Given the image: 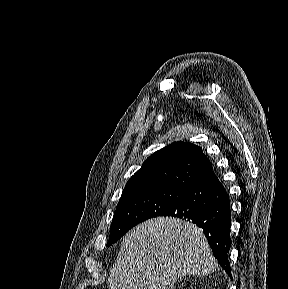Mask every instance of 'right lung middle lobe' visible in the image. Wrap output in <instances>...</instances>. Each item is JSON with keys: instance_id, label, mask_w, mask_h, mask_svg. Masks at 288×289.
<instances>
[{"instance_id": "dd1d6c3e", "label": "right lung middle lobe", "mask_w": 288, "mask_h": 289, "mask_svg": "<svg viewBox=\"0 0 288 289\" xmlns=\"http://www.w3.org/2000/svg\"><path fill=\"white\" fill-rule=\"evenodd\" d=\"M186 190L155 187L123 192L112 220L107 246L129 229L149 218L160 216L185 195Z\"/></svg>"}]
</instances>
